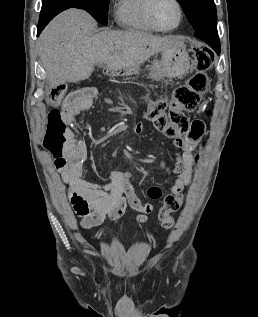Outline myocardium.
Listing matches in <instances>:
<instances>
[{
    "label": "myocardium",
    "mask_w": 258,
    "mask_h": 317,
    "mask_svg": "<svg viewBox=\"0 0 258 317\" xmlns=\"http://www.w3.org/2000/svg\"><path fill=\"white\" fill-rule=\"evenodd\" d=\"M159 1H161V0H152L151 4L148 7V18H149L150 22L159 31L168 32V31H172V30L176 29L179 26V24L181 23L182 16H183L182 4H181L180 0H174L175 3L177 4V7H178V19H177L176 23L171 27L160 26L154 17V8Z\"/></svg>",
    "instance_id": "f54148a6"
}]
</instances>
